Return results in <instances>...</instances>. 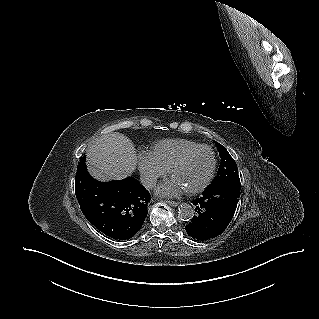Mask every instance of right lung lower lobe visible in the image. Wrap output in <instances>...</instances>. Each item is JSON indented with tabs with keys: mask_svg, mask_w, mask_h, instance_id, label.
Returning <instances> with one entry per match:
<instances>
[{
	"mask_svg": "<svg viewBox=\"0 0 319 319\" xmlns=\"http://www.w3.org/2000/svg\"><path fill=\"white\" fill-rule=\"evenodd\" d=\"M78 163L75 192L87 220L105 235L125 240L133 237L147 216L149 192L133 177L111 182L92 178L85 165Z\"/></svg>",
	"mask_w": 319,
	"mask_h": 319,
	"instance_id": "98d812e1",
	"label": "right lung lower lobe"
}]
</instances>
